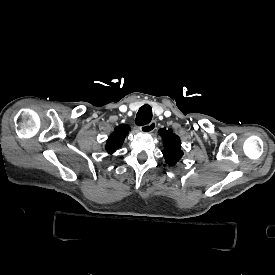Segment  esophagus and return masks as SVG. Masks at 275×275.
<instances>
[{"label": "esophagus", "instance_id": "esophagus-1", "mask_svg": "<svg viewBox=\"0 0 275 275\" xmlns=\"http://www.w3.org/2000/svg\"><path fill=\"white\" fill-rule=\"evenodd\" d=\"M157 127L156 121H151L149 124L142 126L141 130L147 133L153 132Z\"/></svg>", "mask_w": 275, "mask_h": 275}]
</instances>
